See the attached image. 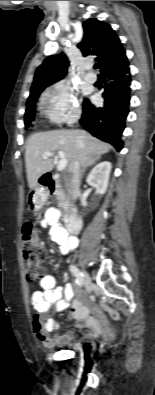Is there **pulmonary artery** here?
Masks as SVG:
<instances>
[{"label":"pulmonary artery","mask_w":155,"mask_h":395,"mask_svg":"<svg viewBox=\"0 0 155 395\" xmlns=\"http://www.w3.org/2000/svg\"><path fill=\"white\" fill-rule=\"evenodd\" d=\"M85 80H86L87 82L94 83V82L97 80V77H96V75H95L94 73L88 72V73L85 75Z\"/></svg>","instance_id":"obj_1"}]
</instances>
